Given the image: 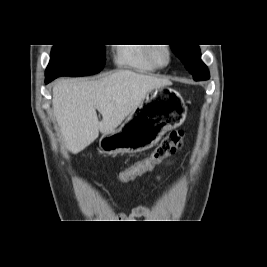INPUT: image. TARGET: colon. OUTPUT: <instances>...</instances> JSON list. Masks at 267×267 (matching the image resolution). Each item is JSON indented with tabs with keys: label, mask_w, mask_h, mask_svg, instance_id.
I'll use <instances>...</instances> for the list:
<instances>
[{
	"label": "colon",
	"mask_w": 267,
	"mask_h": 267,
	"mask_svg": "<svg viewBox=\"0 0 267 267\" xmlns=\"http://www.w3.org/2000/svg\"><path fill=\"white\" fill-rule=\"evenodd\" d=\"M183 140V130L171 131L161 140L148 157L136 162L127 169H121L116 175H111V180H118V185H125V182H133V178H138L140 173L153 168L159 161L180 150Z\"/></svg>",
	"instance_id": "5ec220e1"
}]
</instances>
